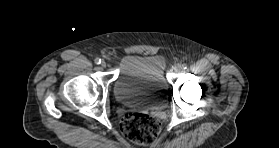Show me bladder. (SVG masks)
<instances>
[{
	"label": "bladder",
	"instance_id": "obj_1",
	"mask_svg": "<svg viewBox=\"0 0 279 148\" xmlns=\"http://www.w3.org/2000/svg\"><path fill=\"white\" fill-rule=\"evenodd\" d=\"M164 70L161 56L126 57L113 85L116 101L126 107L163 109L167 104Z\"/></svg>",
	"mask_w": 279,
	"mask_h": 148
}]
</instances>
